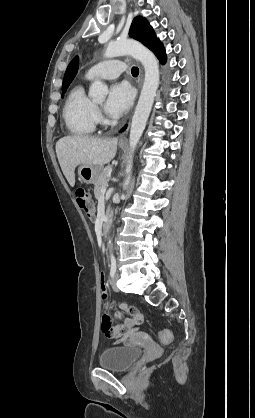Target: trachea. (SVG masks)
<instances>
[{"mask_svg":"<svg viewBox=\"0 0 255 418\" xmlns=\"http://www.w3.org/2000/svg\"><path fill=\"white\" fill-rule=\"evenodd\" d=\"M132 75H138L139 74V69L137 67H132Z\"/></svg>","mask_w":255,"mask_h":418,"instance_id":"1","label":"trachea"}]
</instances>
